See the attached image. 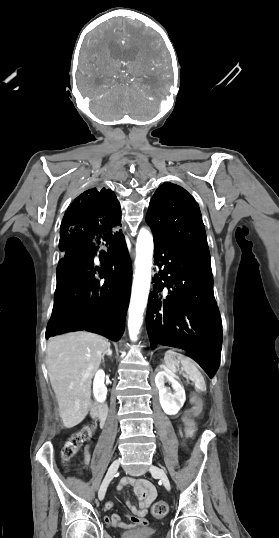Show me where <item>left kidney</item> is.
Wrapping results in <instances>:
<instances>
[{"label": "left kidney", "instance_id": "5707ae66", "mask_svg": "<svg viewBox=\"0 0 279 538\" xmlns=\"http://www.w3.org/2000/svg\"><path fill=\"white\" fill-rule=\"evenodd\" d=\"M175 378L177 376H175L174 372L168 370V368L159 370L155 378V384L159 390L161 408L168 416L178 414L186 400L185 390ZM166 382H171V388H173L174 392H171L170 388H165Z\"/></svg>", "mask_w": 279, "mask_h": 538}]
</instances>
